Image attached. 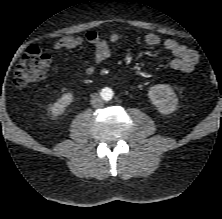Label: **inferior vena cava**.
<instances>
[{
	"label": "inferior vena cava",
	"mask_w": 222,
	"mask_h": 219,
	"mask_svg": "<svg viewBox=\"0 0 222 219\" xmlns=\"http://www.w3.org/2000/svg\"><path fill=\"white\" fill-rule=\"evenodd\" d=\"M90 102L94 108H101L104 105L102 98L98 94H93Z\"/></svg>",
	"instance_id": "1"
}]
</instances>
